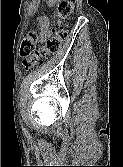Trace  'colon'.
I'll return each mask as SVG.
<instances>
[{"label":"colon","mask_w":123,"mask_h":167,"mask_svg":"<svg viewBox=\"0 0 123 167\" xmlns=\"http://www.w3.org/2000/svg\"><path fill=\"white\" fill-rule=\"evenodd\" d=\"M74 12V0H61L57 7V24L56 34L49 38L46 45L36 49L37 34L35 31L27 33L20 44V55L24 58L23 65L26 70H33L41 64L50 54L56 53L62 46L64 39L67 37V25L69 18Z\"/></svg>","instance_id":"5ec220e1"}]
</instances>
